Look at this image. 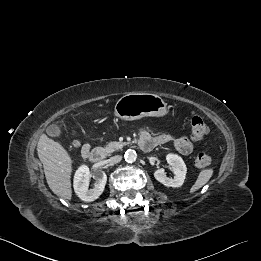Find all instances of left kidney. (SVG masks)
Segmentation results:
<instances>
[{
  "mask_svg": "<svg viewBox=\"0 0 261 261\" xmlns=\"http://www.w3.org/2000/svg\"><path fill=\"white\" fill-rule=\"evenodd\" d=\"M166 160L167 163L171 166L175 177L173 179L167 177L165 170L161 168L155 171V179L167 187H181L184 183L187 173V168L183 159L176 154H168L166 156Z\"/></svg>",
  "mask_w": 261,
  "mask_h": 261,
  "instance_id": "1",
  "label": "left kidney"
}]
</instances>
